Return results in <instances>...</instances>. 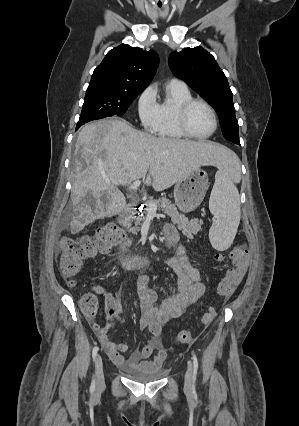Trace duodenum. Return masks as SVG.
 Segmentation results:
<instances>
[{
	"label": "duodenum",
	"mask_w": 299,
	"mask_h": 426,
	"mask_svg": "<svg viewBox=\"0 0 299 426\" xmlns=\"http://www.w3.org/2000/svg\"><path fill=\"white\" fill-rule=\"evenodd\" d=\"M137 206L136 205H130L126 208V210L121 215V222L123 223L125 220H127L129 217H131L134 212L136 211ZM169 244V243H168ZM127 249V244L125 243L122 246V257L121 261L123 263V266L127 269H136L142 266L145 262V258L141 256H131L127 257L125 256V251Z\"/></svg>",
	"instance_id": "obj_1"
}]
</instances>
